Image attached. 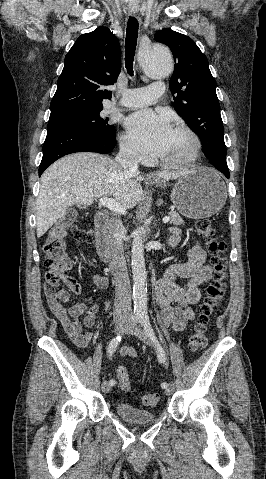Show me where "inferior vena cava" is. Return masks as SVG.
<instances>
[{
	"label": "inferior vena cava",
	"instance_id": "obj_1",
	"mask_svg": "<svg viewBox=\"0 0 266 479\" xmlns=\"http://www.w3.org/2000/svg\"><path fill=\"white\" fill-rule=\"evenodd\" d=\"M115 160L129 173H139L140 156L128 143L120 144V151ZM124 234L125 228L120 220L109 222L107 241L116 291L113 313L115 319H130L132 317L131 285L123 250Z\"/></svg>",
	"mask_w": 266,
	"mask_h": 479
}]
</instances>
